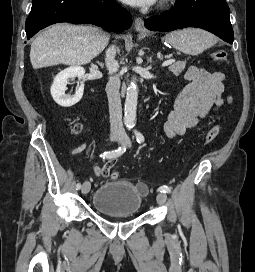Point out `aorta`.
I'll return each mask as SVG.
<instances>
[{"instance_id":"762f6f07","label":"aorta","mask_w":255,"mask_h":272,"mask_svg":"<svg viewBox=\"0 0 255 272\" xmlns=\"http://www.w3.org/2000/svg\"><path fill=\"white\" fill-rule=\"evenodd\" d=\"M138 100V86L136 79L133 80L128 85L125 99V113H124V123L127 127H134L136 123V109Z\"/></svg>"}]
</instances>
